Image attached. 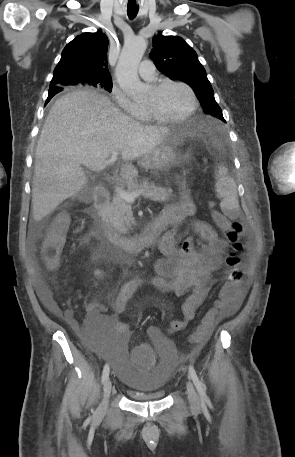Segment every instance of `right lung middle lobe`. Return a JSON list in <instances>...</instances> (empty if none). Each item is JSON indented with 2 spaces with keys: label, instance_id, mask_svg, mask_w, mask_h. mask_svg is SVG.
<instances>
[{
  "label": "right lung middle lobe",
  "instance_id": "right-lung-middle-lobe-1",
  "mask_svg": "<svg viewBox=\"0 0 295 457\" xmlns=\"http://www.w3.org/2000/svg\"><path fill=\"white\" fill-rule=\"evenodd\" d=\"M73 85H77V84H73ZM89 85L100 86V87H102V88H105V89L108 90L109 92H111V90H112V81L92 82V83H90Z\"/></svg>",
  "mask_w": 295,
  "mask_h": 457
}]
</instances>
